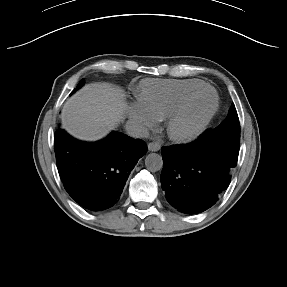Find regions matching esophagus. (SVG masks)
<instances>
[{"mask_svg":"<svg viewBox=\"0 0 287 287\" xmlns=\"http://www.w3.org/2000/svg\"><path fill=\"white\" fill-rule=\"evenodd\" d=\"M160 148H161V145L158 142H150L148 144L149 151L157 152L160 150Z\"/></svg>","mask_w":287,"mask_h":287,"instance_id":"34e87169","label":"esophagus"}]
</instances>
